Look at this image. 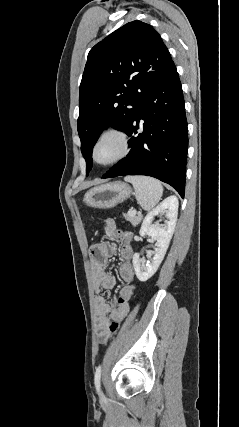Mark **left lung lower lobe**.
Segmentation results:
<instances>
[{
  "label": "left lung lower lobe",
  "mask_w": 239,
  "mask_h": 427,
  "mask_svg": "<svg viewBox=\"0 0 239 427\" xmlns=\"http://www.w3.org/2000/svg\"><path fill=\"white\" fill-rule=\"evenodd\" d=\"M139 127L141 133L137 132ZM125 132L131 136L130 152L102 178L152 176L168 183L184 197L188 131L175 65L144 94Z\"/></svg>",
  "instance_id": "1"
}]
</instances>
